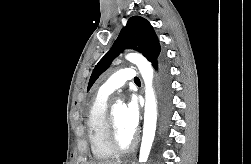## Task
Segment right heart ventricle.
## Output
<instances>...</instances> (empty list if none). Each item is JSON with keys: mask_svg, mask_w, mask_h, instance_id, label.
Segmentation results:
<instances>
[{"mask_svg": "<svg viewBox=\"0 0 251 164\" xmlns=\"http://www.w3.org/2000/svg\"><path fill=\"white\" fill-rule=\"evenodd\" d=\"M107 114L108 96L99 92L89 107L86 119L90 148L99 160L116 155L108 140Z\"/></svg>", "mask_w": 251, "mask_h": 164, "instance_id": "right-heart-ventricle-1", "label": "right heart ventricle"}]
</instances>
